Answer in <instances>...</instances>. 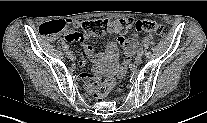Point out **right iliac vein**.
Here are the masks:
<instances>
[{
  "mask_svg": "<svg viewBox=\"0 0 207 123\" xmlns=\"http://www.w3.org/2000/svg\"><path fill=\"white\" fill-rule=\"evenodd\" d=\"M68 58L71 60V61H74L76 59L75 55L70 53V55L68 56Z\"/></svg>",
  "mask_w": 207,
  "mask_h": 123,
  "instance_id": "1",
  "label": "right iliac vein"
}]
</instances>
